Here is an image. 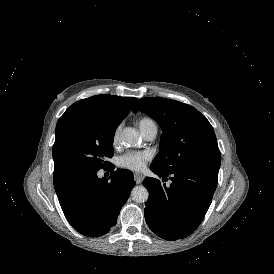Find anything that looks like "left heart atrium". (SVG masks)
Wrapping results in <instances>:
<instances>
[{"label":"left heart atrium","mask_w":274,"mask_h":274,"mask_svg":"<svg viewBox=\"0 0 274 274\" xmlns=\"http://www.w3.org/2000/svg\"><path fill=\"white\" fill-rule=\"evenodd\" d=\"M149 160L146 152L128 153L118 159V165L130 170H141Z\"/></svg>","instance_id":"39dd6f15"}]
</instances>
